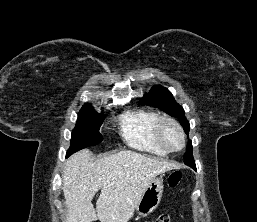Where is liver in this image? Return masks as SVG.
<instances>
[{"label":"liver","mask_w":257,"mask_h":222,"mask_svg":"<svg viewBox=\"0 0 257 222\" xmlns=\"http://www.w3.org/2000/svg\"><path fill=\"white\" fill-rule=\"evenodd\" d=\"M177 168L176 163L131 150L97 160L88 149L81 150L68 158L63 171L66 222H127L149 183ZM99 189L95 209L92 199Z\"/></svg>","instance_id":"liver-1"}]
</instances>
